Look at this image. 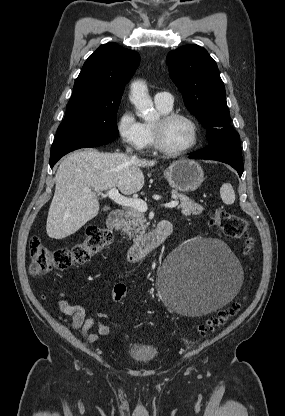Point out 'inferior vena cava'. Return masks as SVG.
I'll return each mask as SVG.
<instances>
[{
  "label": "inferior vena cava",
  "mask_w": 285,
  "mask_h": 416,
  "mask_svg": "<svg viewBox=\"0 0 285 416\" xmlns=\"http://www.w3.org/2000/svg\"><path fill=\"white\" fill-rule=\"evenodd\" d=\"M126 152H131V148H127ZM132 160H136V156H132Z\"/></svg>",
  "instance_id": "obj_1"
}]
</instances>
